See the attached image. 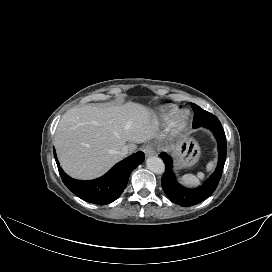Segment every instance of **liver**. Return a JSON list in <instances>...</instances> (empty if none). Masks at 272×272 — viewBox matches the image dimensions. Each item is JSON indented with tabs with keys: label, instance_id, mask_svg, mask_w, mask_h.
<instances>
[{
	"label": "liver",
	"instance_id": "1",
	"mask_svg": "<svg viewBox=\"0 0 272 272\" xmlns=\"http://www.w3.org/2000/svg\"><path fill=\"white\" fill-rule=\"evenodd\" d=\"M152 112L127 102L111 106L85 105L68 110L61 118L54 145L62 168L76 179H93L122 159L120 150L157 135Z\"/></svg>",
	"mask_w": 272,
	"mask_h": 272
}]
</instances>
